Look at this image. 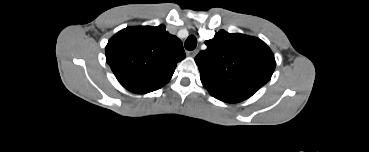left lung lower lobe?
I'll return each instance as SVG.
<instances>
[{
	"mask_svg": "<svg viewBox=\"0 0 369 152\" xmlns=\"http://www.w3.org/2000/svg\"><path fill=\"white\" fill-rule=\"evenodd\" d=\"M221 101H224V102H228V103H237V102H240V100L238 99H235V98H229V97H215Z\"/></svg>",
	"mask_w": 369,
	"mask_h": 152,
	"instance_id": "0a47b994",
	"label": "left lung lower lobe"
}]
</instances>
